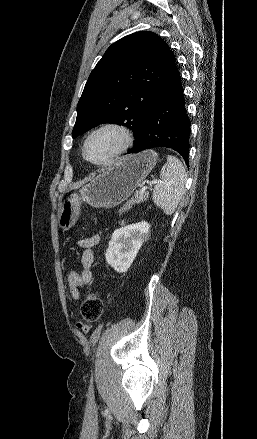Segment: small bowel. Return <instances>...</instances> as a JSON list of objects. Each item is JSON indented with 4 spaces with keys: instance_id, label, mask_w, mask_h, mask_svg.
<instances>
[{
    "instance_id": "1",
    "label": "small bowel",
    "mask_w": 257,
    "mask_h": 439,
    "mask_svg": "<svg viewBox=\"0 0 257 439\" xmlns=\"http://www.w3.org/2000/svg\"><path fill=\"white\" fill-rule=\"evenodd\" d=\"M99 241L98 235H93L88 238L80 239L77 244L81 248H83V253L81 256V267L82 270L80 272V284L76 287L70 286V293L74 299H79V289L84 285H88L92 282V272L91 267L94 261L93 254V246H95ZM77 332L76 334L82 338L83 341L86 340L85 336L90 331V326L88 324L78 322L77 323Z\"/></svg>"
}]
</instances>
